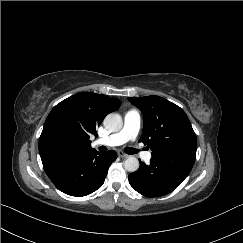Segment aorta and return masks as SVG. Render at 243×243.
Instances as JSON below:
<instances>
[{
  "instance_id": "762f6f07",
  "label": "aorta",
  "mask_w": 243,
  "mask_h": 243,
  "mask_svg": "<svg viewBox=\"0 0 243 243\" xmlns=\"http://www.w3.org/2000/svg\"><path fill=\"white\" fill-rule=\"evenodd\" d=\"M105 129L109 132H118L122 129V117L117 113L108 114L103 121ZM124 168L129 172H135L139 168V161L137 158L130 156L124 161Z\"/></svg>"
}]
</instances>
